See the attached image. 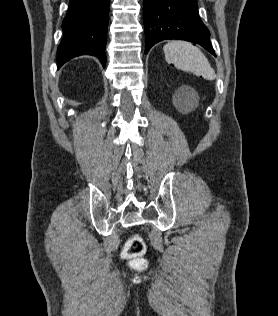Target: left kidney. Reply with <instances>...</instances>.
<instances>
[{
    "label": "left kidney",
    "instance_id": "left-kidney-1",
    "mask_svg": "<svg viewBox=\"0 0 278 316\" xmlns=\"http://www.w3.org/2000/svg\"><path fill=\"white\" fill-rule=\"evenodd\" d=\"M196 95V92L194 91V89H192L189 86H183L180 89H178L176 96L178 99H190L192 97H194Z\"/></svg>",
    "mask_w": 278,
    "mask_h": 316
}]
</instances>
